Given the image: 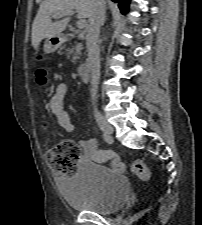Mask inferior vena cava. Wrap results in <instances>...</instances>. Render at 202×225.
Segmentation results:
<instances>
[{
    "instance_id": "602c4592",
    "label": "inferior vena cava",
    "mask_w": 202,
    "mask_h": 225,
    "mask_svg": "<svg viewBox=\"0 0 202 225\" xmlns=\"http://www.w3.org/2000/svg\"><path fill=\"white\" fill-rule=\"evenodd\" d=\"M105 18L104 0H95L94 11L89 18V27L86 36L88 51V65L91 72V97L93 103L96 100L97 89L100 77V49L98 44L100 27Z\"/></svg>"
}]
</instances>
